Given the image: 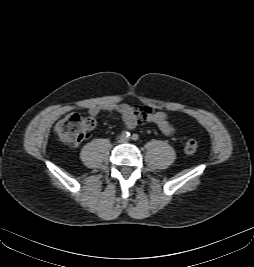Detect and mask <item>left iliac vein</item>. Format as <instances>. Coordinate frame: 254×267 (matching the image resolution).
Instances as JSON below:
<instances>
[{"instance_id": "1", "label": "left iliac vein", "mask_w": 254, "mask_h": 267, "mask_svg": "<svg viewBox=\"0 0 254 267\" xmlns=\"http://www.w3.org/2000/svg\"><path fill=\"white\" fill-rule=\"evenodd\" d=\"M128 140H129V139H127V138H126V139H123V142H127Z\"/></svg>"}]
</instances>
